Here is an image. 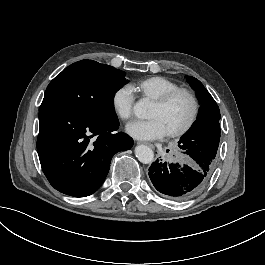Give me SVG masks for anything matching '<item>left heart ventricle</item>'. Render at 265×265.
I'll use <instances>...</instances> for the list:
<instances>
[{
  "instance_id": "1",
  "label": "left heart ventricle",
  "mask_w": 265,
  "mask_h": 265,
  "mask_svg": "<svg viewBox=\"0 0 265 265\" xmlns=\"http://www.w3.org/2000/svg\"><path fill=\"white\" fill-rule=\"evenodd\" d=\"M190 113V101L184 96H179L163 109H159L152 104L147 118L158 119L168 133L183 127L187 123Z\"/></svg>"
}]
</instances>
